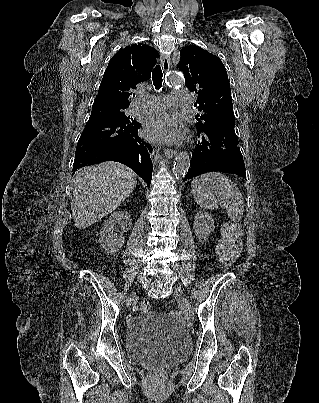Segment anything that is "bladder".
I'll list each match as a JSON object with an SVG mask.
<instances>
[{"mask_svg": "<svg viewBox=\"0 0 319 403\" xmlns=\"http://www.w3.org/2000/svg\"><path fill=\"white\" fill-rule=\"evenodd\" d=\"M191 348L188 334L161 312L137 317L126 331V354L130 362L146 368L168 367L184 360Z\"/></svg>", "mask_w": 319, "mask_h": 403, "instance_id": "obj_1", "label": "bladder"}]
</instances>
